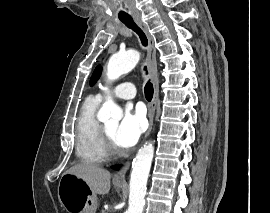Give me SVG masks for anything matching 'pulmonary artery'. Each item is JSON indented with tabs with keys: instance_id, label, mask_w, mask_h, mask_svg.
<instances>
[{
	"instance_id": "obj_1",
	"label": "pulmonary artery",
	"mask_w": 270,
	"mask_h": 213,
	"mask_svg": "<svg viewBox=\"0 0 270 213\" xmlns=\"http://www.w3.org/2000/svg\"><path fill=\"white\" fill-rule=\"evenodd\" d=\"M114 96L120 99L133 100L136 97V87L131 82L121 83L116 86ZM95 98L98 101H102L104 99V95L98 93Z\"/></svg>"
}]
</instances>
